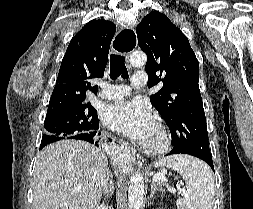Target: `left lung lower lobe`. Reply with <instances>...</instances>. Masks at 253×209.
I'll return each instance as SVG.
<instances>
[{"mask_svg":"<svg viewBox=\"0 0 253 209\" xmlns=\"http://www.w3.org/2000/svg\"><path fill=\"white\" fill-rule=\"evenodd\" d=\"M171 154H180V153H177V152L172 150L167 155H171ZM182 154H189V155H192V156H195V157H198V158L204 160L212 168V170L214 171V166H213V161H212L211 156L201 155V154H196V153H182Z\"/></svg>","mask_w":253,"mask_h":209,"instance_id":"1","label":"left lung lower lobe"}]
</instances>
